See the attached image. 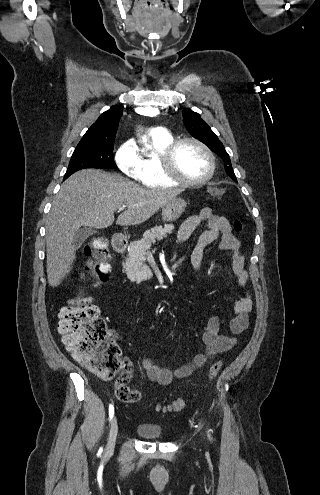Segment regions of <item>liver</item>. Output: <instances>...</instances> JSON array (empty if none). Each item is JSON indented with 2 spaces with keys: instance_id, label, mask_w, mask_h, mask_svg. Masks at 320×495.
<instances>
[{
  "instance_id": "obj_1",
  "label": "liver",
  "mask_w": 320,
  "mask_h": 495,
  "mask_svg": "<svg viewBox=\"0 0 320 495\" xmlns=\"http://www.w3.org/2000/svg\"><path fill=\"white\" fill-rule=\"evenodd\" d=\"M182 190L146 189L118 174L99 170H81L62 185L52 203L46 222L47 278L51 287L61 284L76 258L73 245L75 231L81 226L106 228L137 225L148 220L160 208L172 201Z\"/></svg>"
}]
</instances>
